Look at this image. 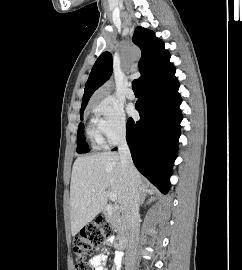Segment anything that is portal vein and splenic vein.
I'll return each instance as SVG.
<instances>
[{
  "label": "portal vein and splenic vein",
  "instance_id": "obj_1",
  "mask_svg": "<svg viewBox=\"0 0 242 270\" xmlns=\"http://www.w3.org/2000/svg\"><path fill=\"white\" fill-rule=\"evenodd\" d=\"M108 196H109L110 200H112V201L117 200V195L115 193L111 192V191H108Z\"/></svg>",
  "mask_w": 242,
  "mask_h": 270
}]
</instances>
